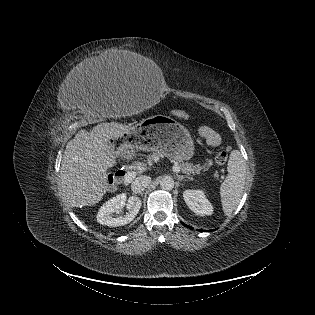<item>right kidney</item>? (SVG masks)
<instances>
[{"mask_svg":"<svg viewBox=\"0 0 315 315\" xmlns=\"http://www.w3.org/2000/svg\"><path fill=\"white\" fill-rule=\"evenodd\" d=\"M128 210L125 215H119L125 207ZM141 200L131 196L127 200L126 193L119 194L104 203L97 214V222L110 227L123 226L130 223L141 208ZM113 213L116 216H113Z\"/></svg>","mask_w":315,"mask_h":315,"instance_id":"right-kidney-1","label":"right kidney"}]
</instances>
